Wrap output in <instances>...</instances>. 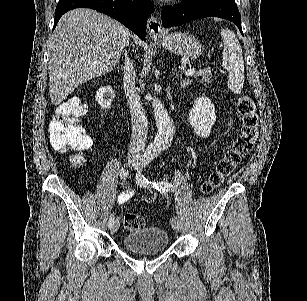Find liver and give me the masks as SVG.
<instances>
[{"label": "liver", "mask_w": 307, "mask_h": 301, "mask_svg": "<svg viewBox=\"0 0 307 301\" xmlns=\"http://www.w3.org/2000/svg\"><path fill=\"white\" fill-rule=\"evenodd\" d=\"M131 32L118 20L92 8H74L61 16L49 54V92L61 104L79 84L114 70Z\"/></svg>", "instance_id": "obj_1"}]
</instances>
